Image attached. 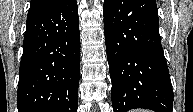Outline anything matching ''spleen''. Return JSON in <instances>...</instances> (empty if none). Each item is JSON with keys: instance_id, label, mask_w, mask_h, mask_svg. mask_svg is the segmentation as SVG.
Returning <instances> with one entry per match:
<instances>
[{"instance_id": "spleen-1", "label": "spleen", "mask_w": 193, "mask_h": 112, "mask_svg": "<svg viewBox=\"0 0 193 112\" xmlns=\"http://www.w3.org/2000/svg\"><path fill=\"white\" fill-rule=\"evenodd\" d=\"M134 112H147V111H144V110H137V111H134Z\"/></svg>"}]
</instances>
